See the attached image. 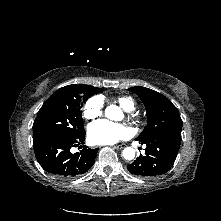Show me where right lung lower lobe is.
<instances>
[{"instance_id":"1","label":"right lung lower lobe","mask_w":221,"mask_h":221,"mask_svg":"<svg viewBox=\"0 0 221 221\" xmlns=\"http://www.w3.org/2000/svg\"><path fill=\"white\" fill-rule=\"evenodd\" d=\"M85 132L74 139L52 138L34 145L35 156L41 167L57 177L72 178L87 172L94 164L98 148L84 146L83 150L71 153L70 149L84 144Z\"/></svg>"}]
</instances>
